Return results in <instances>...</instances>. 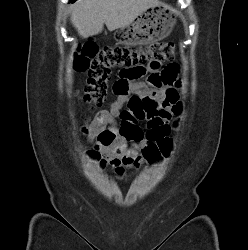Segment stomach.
Wrapping results in <instances>:
<instances>
[{
    "label": "stomach",
    "instance_id": "obj_1",
    "mask_svg": "<svg viewBox=\"0 0 248 250\" xmlns=\"http://www.w3.org/2000/svg\"><path fill=\"white\" fill-rule=\"evenodd\" d=\"M175 24L174 10L167 5L146 9L136 20L120 29V43L124 45H144L165 38Z\"/></svg>",
    "mask_w": 248,
    "mask_h": 250
}]
</instances>
